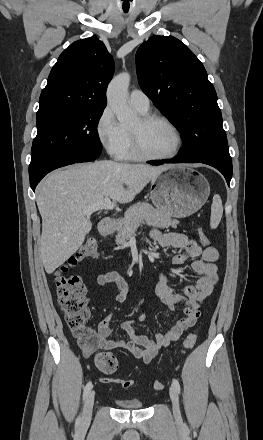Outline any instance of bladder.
I'll use <instances>...</instances> for the list:
<instances>
[{
  "instance_id": "bladder-1",
  "label": "bladder",
  "mask_w": 263,
  "mask_h": 440,
  "mask_svg": "<svg viewBox=\"0 0 263 440\" xmlns=\"http://www.w3.org/2000/svg\"><path fill=\"white\" fill-rule=\"evenodd\" d=\"M115 402L122 409L140 410L144 407V404L137 399H117Z\"/></svg>"
}]
</instances>
